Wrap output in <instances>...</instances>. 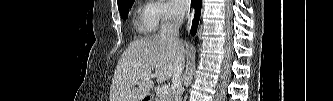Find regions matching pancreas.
<instances>
[{
    "mask_svg": "<svg viewBox=\"0 0 333 101\" xmlns=\"http://www.w3.org/2000/svg\"><path fill=\"white\" fill-rule=\"evenodd\" d=\"M171 100V94H162L159 93L156 97V101H170Z\"/></svg>",
    "mask_w": 333,
    "mask_h": 101,
    "instance_id": "obj_1",
    "label": "pancreas"
}]
</instances>
